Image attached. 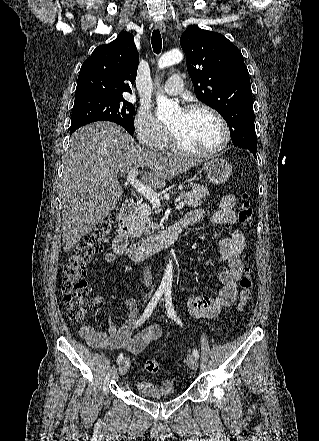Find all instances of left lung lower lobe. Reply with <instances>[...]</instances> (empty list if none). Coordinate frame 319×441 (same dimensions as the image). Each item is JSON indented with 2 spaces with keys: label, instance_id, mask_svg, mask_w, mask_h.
I'll list each match as a JSON object with an SVG mask.
<instances>
[{
  "label": "left lung lower lobe",
  "instance_id": "1",
  "mask_svg": "<svg viewBox=\"0 0 319 441\" xmlns=\"http://www.w3.org/2000/svg\"><path fill=\"white\" fill-rule=\"evenodd\" d=\"M250 152H252L254 154V156L256 157V151L250 150Z\"/></svg>",
  "mask_w": 319,
  "mask_h": 441
}]
</instances>
